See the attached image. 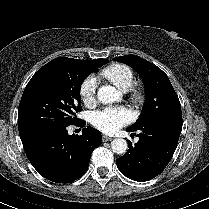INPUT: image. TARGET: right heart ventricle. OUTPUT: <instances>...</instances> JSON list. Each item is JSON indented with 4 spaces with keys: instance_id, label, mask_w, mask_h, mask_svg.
I'll use <instances>...</instances> for the list:
<instances>
[{
    "instance_id": "1",
    "label": "right heart ventricle",
    "mask_w": 209,
    "mask_h": 209,
    "mask_svg": "<svg viewBox=\"0 0 209 209\" xmlns=\"http://www.w3.org/2000/svg\"><path fill=\"white\" fill-rule=\"evenodd\" d=\"M104 77L122 91H128L134 85V73L124 64H114L103 72Z\"/></svg>"
}]
</instances>
